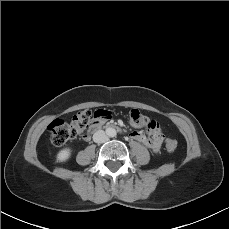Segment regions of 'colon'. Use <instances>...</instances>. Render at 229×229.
Segmentation results:
<instances>
[{"label":"colon","instance_id":"colon-1","mask_svg":"<svg viewBox=\"0 0 229 229\" xmlns=\"http://www.w3.org/2000/svg\"><path fill=\"white\" fill-rule=\"evenodd\" d=\"M97 115L104 119H110L111 113L108 110L100 109L93 113L90 109H84L77 112L71 123L57 119L53 121L48 127V139L54 146H61L75 135L82 133L89 125L91 118ZM130 122L135 127H147L154 129L157 123L149 120L139 110L132 109L129 114ZM178 147V142L175 139L168 138L165 141V148L169 152H174Z\"/></svg>","mask_w":229,"mask_h":229}]
</instances>
